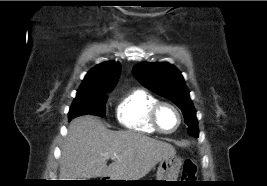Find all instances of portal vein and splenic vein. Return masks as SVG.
Masks as SVG:
<instances>
[{"mask_svg":"<svg viewBox=\"0 0 267 186\" xmlns=\"http://www.w3.org/2000/svg\"><path fill=\"white\" fill-rule=\"evenodd\" d=\"M108 157H110L111 159H116L117 158V155L116 154H113V155H107Z\"/></svg>","mask_w":267,"mask_h":186,"instance_id":"1","label":"portal vein and splenic vein"}]
</instances>
